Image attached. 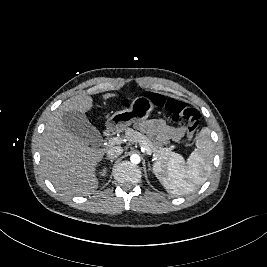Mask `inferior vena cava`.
<instances>
[{"label": "inferior vena cava", "mask_w": 267, "mask_h": 267, "mask_svg": "<svg viewBox=\"0 0 267 267\" xmlns=\"http://www.w3.org/2000/svg\"><path fill=\"white\" fill-rule=\"evenodd\" d=\"M123 153V149L121 146H112L107 149V157L110 159H115L119 157Z\"/></svg>", "instance_id": "inferior-vena-cava-1"}]
</instances>
